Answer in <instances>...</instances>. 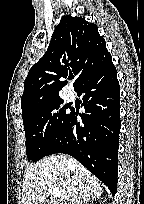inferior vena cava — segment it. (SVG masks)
Masks as SVG:
<instances>
[{"instance_id": "obj_1", "label": "inferior vena cava", "mask_w": 144, "mask_h": 204, "mask_svg": "<svg viewBox=\"0 0 144 204\" xmlns=\"http://www.w3.org/2000/svg\"><path fill=\"white\" fill-rule=\"evenodd\" d=\"M69 163H73V159L71 158V159H69Z\"/></svg>"}]
</instances>
